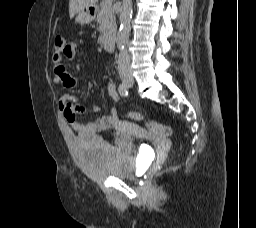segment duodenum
<instances>
[{"instance_id":"obj_1","label":"duodenum","mask_w":256,"mask_h":228,"mask_svg":"<svg viewBox=\"0 0 256 228\" xmlns=\"http://www.w3.org/2000/svg\"><path fill=\"white\" fill-rule=\"evenodd\" d=\"M91 15H94L96 12L95 7L89 9ZM100 43L107 51H111L115 46V35L113 33H106L101 36Z\"/></svg>"}]
</instances>
